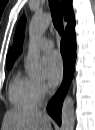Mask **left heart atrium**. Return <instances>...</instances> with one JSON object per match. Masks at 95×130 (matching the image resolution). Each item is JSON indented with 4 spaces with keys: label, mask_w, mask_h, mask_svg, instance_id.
Wrapping results in <instances>:
<instances>
[{
    "label": "left heart atrium",
    "mask_w": 95,
    "mask_h": 130,
    "mask_svg": "<svg viewBox=\"0 0 95 130\" xmlns=\"http://www.w3.org/2000/svg\"><path fill=\"white\" fill-rule=\"evenodd\" d=\"M43 64L48 83L52 86L56 85L63 73L61 56L58 52H50L44 57Z\"/></svg>",
    "instance_id": "1"
}]
</instances>
